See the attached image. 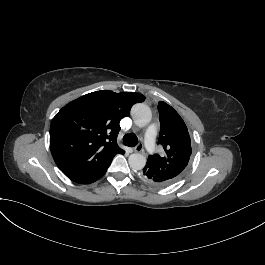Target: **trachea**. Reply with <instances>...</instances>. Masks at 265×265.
Segmentation results:
<instances>
[{
	"mask_svg": "<svg viewBox=\"0 0 265 265\" xmlns=\"http://www.w3.org/2000/svg\"><path fill=\"white\" fill-rule=\"evenodd\" d=\"M123 143H124L126 146L134 147V146H136L137 143H138L137 136H136L135 134H126V135L123 137Z\"/></svg>",
	"mask_w": 265,
	"mask_h": 265,
	"instance_id": "trachea-1",
	"label": "trachea"
}]
</instances>
